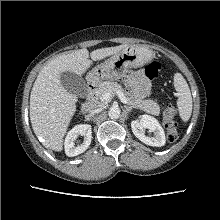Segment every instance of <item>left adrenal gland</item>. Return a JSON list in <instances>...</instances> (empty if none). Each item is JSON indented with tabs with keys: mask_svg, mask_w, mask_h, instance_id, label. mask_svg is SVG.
I'll return each mask as SVG.
<instances>
[{
	"mask_svg": "<svg viewBox=\"0 0 220 220\" xmlns=\"http://www.w3.org/2000/svg\"><path fill=\"white\" fill-rule=\"evenodd\" d=\"M125 108H126V112H127V113H129V112L132 111V109H133L132 107H129V106H125Z\"/></svg>",
	"mask_w": 220,
	"mask_h": 220,
	"instance_id": "left-adrenal-gland-1",
	"label": "left adrenal gland"
}]
</instances>
